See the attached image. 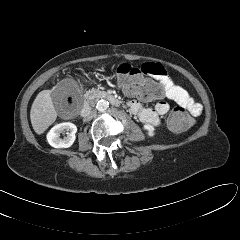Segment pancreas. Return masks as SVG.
<instances>
[{
    "label": "pancreas",
    "mask_w": 240,
    "mask_h": 240,
    "mask_svg": "<svg viewBox=\"0 0 240 240\" xmlns=\"http://www.w3.org/2000/svg\"><path fill=\"white\" fill-rule=\"evenodd\" d=\"M98 93H100L98 90L96 89H92V90H89L85 93L86 95V98H91L92 96H95L97 95Z\"/></svg>",
    "instance_id": "1"
}]
</instances>
